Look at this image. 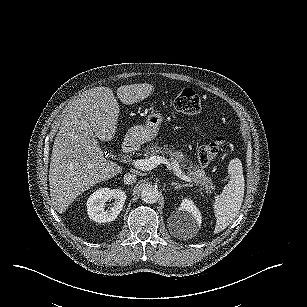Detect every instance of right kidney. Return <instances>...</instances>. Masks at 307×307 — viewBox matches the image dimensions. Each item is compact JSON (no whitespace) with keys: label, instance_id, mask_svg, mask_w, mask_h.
<instances>
[{"label":"right kidney","instance_id":"right-kidney-1","mask_svg":"<svg viewBox=\"0 0 307 307\" xmlns=\"http://www.w3.org/2000/svg\"><path fill=\"white\" fill-rule=\"evenodd\" d=\"M126 198V193L121 188H99L87 199V214L97 223L114 221L122 211ZM111 200H114L112 206L105 210L106 203Z\"/></svg>","mask_w":307,"mask_h":307}]
</instances>
